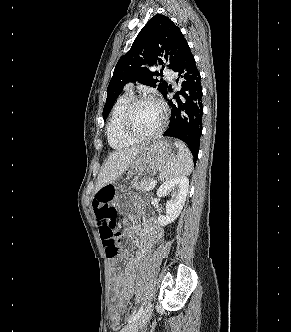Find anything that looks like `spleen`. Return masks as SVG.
Masks as SVG:
<instances>
[{"mask_svg": "<svg viewBox=\"0 0 291 332\" xmlns=\"http://www.w3.org/2000/svg\"><path fill=\"white\" fill-rule=\"evenodd\" d=\"M178 152L160 171L159 178L168 181L173 178L187 176L193 170V158L190 150L181 141H175Z\"/></svg>", "mask_w": 291, "mask_h": 332, "instance_id": "1", "label": "spleen"}]
</instances>
